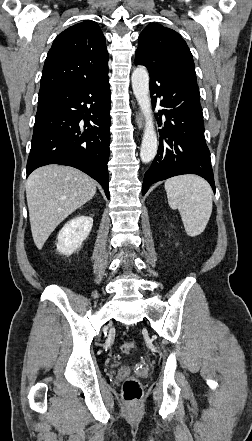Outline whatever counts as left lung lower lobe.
<instances>
[{
    "mask_svg": "<svg viewBox=\"0 0 252 441\" xmlns=\"http://www.w3.org/2000/svg\"><path fill=\"white\" fill-rule=\"evenodd\" d=\"M149 74L153 107L159 97L164 108L156 114L158 126L163 114L166 121L159 131L157 155L144 176L142 195L153 183L181 174L205 178L215 192L197 80L183 68L171 65Z\"/></svg>",
    "mask_w": 252,
    "mask_h": 441,
    "instance_id": "1",
    "label": "left lung lower lobe"
}]
</instances>
